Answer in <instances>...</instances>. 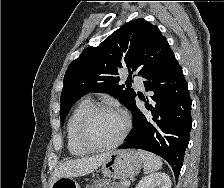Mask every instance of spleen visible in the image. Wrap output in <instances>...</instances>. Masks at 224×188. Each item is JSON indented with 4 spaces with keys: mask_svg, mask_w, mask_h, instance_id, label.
Masks as SVG:
<instances>
[{
    "mask_svg": "<svg viewBox=\"0 0 224 188\" xmlns=\"http://www.w3.org/2000/svg\"><path fill=\"white\" fill-rule=\"evenodd\" d=\"M138 154L142 160L145 174L153 173L161 169L162 160L160 157L144 150H138Z\"/></svg>",
    "mask_w": 224,
    "mask_h": 188,
    "instance_id": "obj_1",
    "label": "spleen"
}]
</instances>
